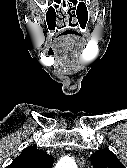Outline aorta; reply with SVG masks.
Instances as JSON below:
<instances>
[{"mask_svg":"<svg viewBox=\"0 0 127 168\" xmlns=\"http://www.w3.org/2000/svg\"><path fill=\"white\" fill-rule=\"evenodd\" d=\"M55 168H77V166L71 158L64 157L58 162Z\"/></svg>","mask_w":127,"mask_h":168,"instance_id":"1","label":"aorta"}]
</instances>
